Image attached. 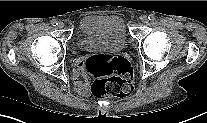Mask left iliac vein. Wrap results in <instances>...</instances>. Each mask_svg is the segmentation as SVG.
Here are the masks:
<instances>
[{"label":"left iliac vein","mask_w":207,"mask_h":123,"mask_svg":"<svg viewBox=\"0 0 207 123\" xmlns=\"http://www.w3.org/2000/svg\"><path fill=\"white\" fill-rule=\"evenodd\" d=\"M141 22H142V23H148V18H147V16H142V17H141Z\"/></svg>","instance_id":"1"}]
</instances>
